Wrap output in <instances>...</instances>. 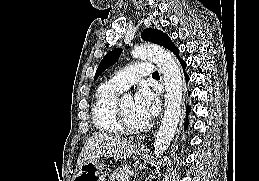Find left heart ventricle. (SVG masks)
Instances as JSON below:
<instances>
[{
    "label": "left heart ventricle",
    "instance_id": "left-heart-ventricle-1",
    "mask_svg": "<svg viewBox=\"0 0 259 181\" xmlns=\"http://www.w3.org/2000/svg\"><path fill=\"white\" fill-rule=\"evenodd\" d=\"M121 107L123 111L126 113L127 117L129 120L134 123V124H144L146 123L143 121L138 114L136 113L135 110V104L133 99H127L121 104Z\"/></svg>",
    "mask_w": 259,
    "mask_h": 181
}]
</instances>
